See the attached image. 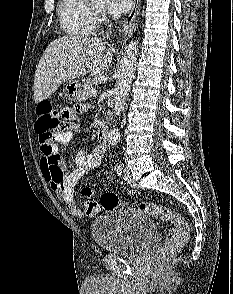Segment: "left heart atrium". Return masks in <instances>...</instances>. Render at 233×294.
I'll use <instances>...</instances> for the list:
<instances>
[{
    "mask_svg": "<svg viewBox=\"0 0 233 294\" xmlns=\"http://www.w3.org/2000/svg\"><path fill=\"white\" fill-rule=\"evenodd\" d=\"M133 0H109L108 11L111 14H122L132 5Z\"/></svg>",
    "mask_w": 233,
    "mask_h": 294,
    "instance_id": "obj_1",
    "label": "left heart atrium"
}]
</instances>
